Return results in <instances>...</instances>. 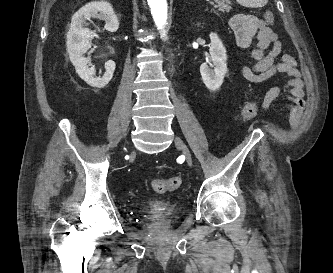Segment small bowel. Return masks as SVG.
Masks as SVG:
<instances>
[{
    "instance_id": "small-bowel-1",
    "label": "small bowel",
    "mask_w": 333,
    "mask_h": 273,
    "mask_svg": "<svg viewBox=\"0 0 333 273\" xmlns=\"http://www.w3.org/2000/svg\"><path fill=\"white\" fill-rule=\"evenodd\" d=\"M230 26L237 45L250 51L252 65L240 67L241 76L250 83H262L277 73H284L287 81L283 86L267 90L261 103L267 109L275 100L285 97L291 117L295 119L303 106L302 82L294 58L284 52L278 35L268 23L250 13H236L230 19Z\"/></svg>"
}]
</instances>
